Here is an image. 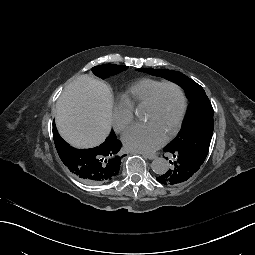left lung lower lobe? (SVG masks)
Returning <instances> with one entry per match:
<instances>
[{
    "mask_svg": "<svg viewBox=\"0 0 255 255\" xmlns=\"http://www.w3.org/2000/svg\"><path fill=\"white\" fill-rule=\"evenodd\" d=\"M164 155L166 157L172 155L168 160V167L170 171L157 178L159 183L176 185L189 179L193 173H199V165L194 163V154L183 152L182 150L175 151L173 149H166L164 151Z\"/></svg>",
    "mask_w": 255,
    "mask_h": 255,
    "instance_id": "obj_1",
    "label": "left lung lower lobe"
}]
</instances>
